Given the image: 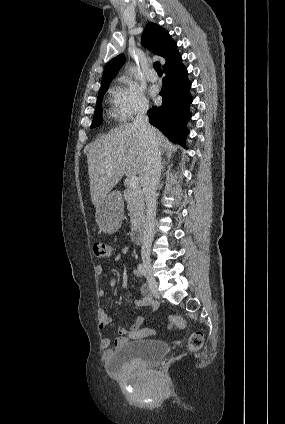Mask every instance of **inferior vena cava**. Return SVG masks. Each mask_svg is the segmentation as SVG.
<instances>
[{"instance_id":"inferior-vena-cava-1","label":"inferior vena cava","mask_w":285,"mask_h":424,"mask_svg":"<svg viewBox=\"0 0 285 424\" xmlns=\"http://www.w3.org/2000/svg\"><path fill=\"white\" fill-rule=\"evenodd\" d=\"M147 111L148 106H142L133 121L134 127L139 130L142 136L147 159L146 171L142 182L146 202V218L141 256L145 260L150 259V250L155 234L156 191L161 174V153L155 131L149 124V119L146 115Z\"/></svg>"}]
</instances>
